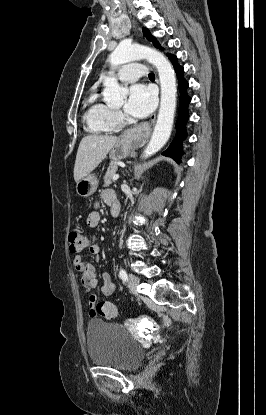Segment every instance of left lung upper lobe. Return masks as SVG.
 <instances>
[{
	"mask_svg": "<svg viewBox=\"0 0 266 415\" xmlns=\"http://www.w3.org/2000/svg\"><path fill=\"white\" fill-rule=\"evenodd\" d=\"M143 33H144L145 37H146L148 40H150V41H152V42H153V44H154V46H155V47H157V48H159V49H163V48L159 45V43L155 40V38L151 35V33L149 32V30H148V29L143 28ZM169 55H171V54H168V56H169Z\"/></svg>",
	"mask_w": 266,
	"mask_h": 415,
	"instance_id": "obj_1",
	"label": "left lung upper lobe"
}]
</instances>
